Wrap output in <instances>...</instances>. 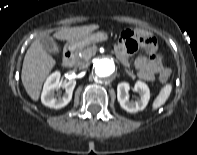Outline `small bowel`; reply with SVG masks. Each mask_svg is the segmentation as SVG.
<instances>
[{
	"label": "small bowel",
	"instance_id": "c3829d8e",
	"mask_svg": "<svg viewBox=\"0 0 197 155\" xmlns=\"http://www.w3.org/2000/svg\"><path fill=\"white\" fill-rule=\"evenodd\" d=\"M131 31L133 33V38L136 40H140L141 38H149L141 36L137 31ZM142 46L148 48V55H140L136 57L134 66L136 68L137 75L139 78L145 81L153 80L156 75H159V78L161 79V75L166 68L162 63L161 56L157 52L156 42H150L148 45ZM115 52L124 65H130L129 56L132 51L129 48V40L127 38H121V40L115 46Z\"/></svg>",
	"mask_w": 197,
	"mask_h": 155
}]
</instances>
